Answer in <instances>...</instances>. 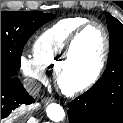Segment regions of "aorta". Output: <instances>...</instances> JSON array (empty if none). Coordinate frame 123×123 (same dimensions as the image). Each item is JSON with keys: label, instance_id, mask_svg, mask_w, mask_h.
I'll list each match as a JSON object with an SVG mask.
<instances>
[{"label": "aorta", "instance_id": "aorta-1", "mask_svg": "<svg viewBox=\"0 0 123 123\" xmlns=\"http://www.w3.org/2000/svg\"><path fill=\"white\" fill-rule=\"evenodd\" d=\"M46 113L48 118L54 122H60L65 117L64 109L56 103L49 104L46 108Z\"/></svg>", "mask_w": 123, "mask_h": 123}]
</instances>
